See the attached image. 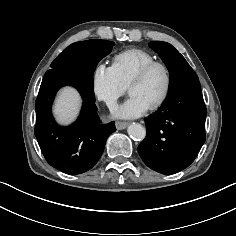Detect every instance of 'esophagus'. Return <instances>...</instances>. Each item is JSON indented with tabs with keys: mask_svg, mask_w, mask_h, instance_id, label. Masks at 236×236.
Segmentation results:
<instances>
[{
	"mask_svg": "<svg viewBox=\"0 0 236 236\" xmlns=\"http://www.w3.org/2000/svg\"><path fill=\"white\" fill-rule=\"evenodd\" d=\"M115 126H116V129L118 130H123L125 129L127 126H128V123L127 122H120V121H117L115 123Z\"/></svg>",
	"mask_w": 236,
	"mask_h": 236,
	"instance_id": "34e87169",
	"label": "esophagus"
}]
</instances>
